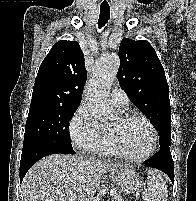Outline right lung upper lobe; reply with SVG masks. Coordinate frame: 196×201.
Segmentation results:
<instances>
[{
  "instance_id": "obj_1",
  "label": "right lung upper lobe",
  "mask_w": 196,
  "mask_h": 201,
  "mask_svg": "<svg viewBox=\"0 0 196 201\" xmlns=\"http://www.w3.org/2000/svg\"><path fill=\"white\" fill-rule=\"evenodd\" d=\"M86 79L84 55L79 43L58 41L39 67L31 103L80 105Z\"/></svg>"
}]
</instances>
